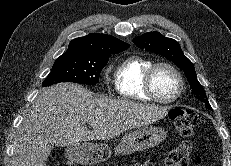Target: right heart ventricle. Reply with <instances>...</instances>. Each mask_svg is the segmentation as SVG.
Masks as SVG:
<instances>
[{
  "instance_id": "obj_1",
  "label": "right heart ventricle",
  "mask_w": 231,
  "mask_h": 166,
  "mask_svg": "<svg viewBox=\"0 0 231 166\" xmlns=\"http://www.w3.org/2000/svg\"><path fill=\"white\" fill-rule=\"evenodd\" d=\"M153 64L149 58L132 55L125 58L114 73V87L124 99L149 101L151 98L144 89V76Z\"/></svg>"
}]
</instances>
